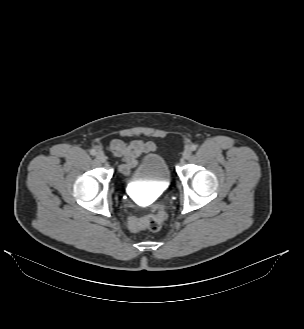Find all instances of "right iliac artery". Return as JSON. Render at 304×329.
Segmentation results:
<instances>
[{"label": "right iliac artery", "mask_w": 304, "mask_h": 329, "mask_svg": "<svg viewBox=\"0 0 304 329\" xmlns=\"http://www.w3.org/2000/svg\"><path fill=\"white\" fill-rule=\"evenodd\" d=\"M90 154H91L92 156H95V155H96V151H95L94 149H91V150H90Z\"/></svg>", "instance_id": "82829eb1"}]
</instances>
